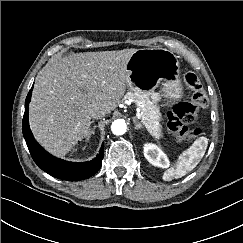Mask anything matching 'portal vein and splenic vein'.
Segmentation results:
<instances>
[{"label":"portal vein and splenic vein","mask_w":243,"mask_h":243,"mask_svg":"<svg viewBox=\"0 0 243 243\" xmlns=\"http://www.w3.org/2000/svg\"><path fill=\"white\" fill-rule=\"evenodd\" d=\"M136 117L142 120V115L139 110H137Z\"/></svg>","instance_id":"portal-vein-and-splenic-vein-1"}]
</instances>
